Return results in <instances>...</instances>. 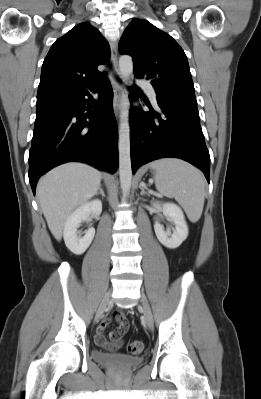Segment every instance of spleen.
I'll use <instances>...</instances> for the list:
<instances>
[{"mask_svg":"<svg viewBox=\"0 0 261 399\" xmlns=\"http://www.w3.org/2000/svg\"><path fill=\"white\" fill-rule=\"evenodd\" d=\"M155 186L167 196L174 197L191 222L201 217L205 198V178L194 166L180 159L164 158L153 161Z\"/></svg>","mask_w":261,"mask_h":399,"instance_id":"spleen-1","label":"spleen"}]
</instances>
